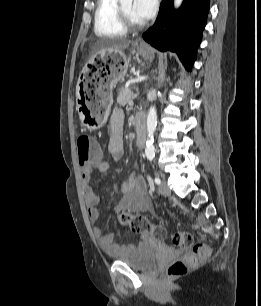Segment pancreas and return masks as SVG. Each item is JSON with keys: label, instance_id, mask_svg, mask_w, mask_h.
<instances>
[{"label": "pancreas", "instance_id": "pancreas-1", "mask_svg": "<svg viewBox=\"0 0 261 306\" xmlns=\"http://www.w3.org/2000/svg\"><path fill=\"white\" fill-rule=\"evenodd\" d=\"M132 95L131 88L122 87L118 93L117 103L121 106L127 105L131 101Z\"/></svg>", "mask_w": 261, "mask_h": 306}]
</instances>
